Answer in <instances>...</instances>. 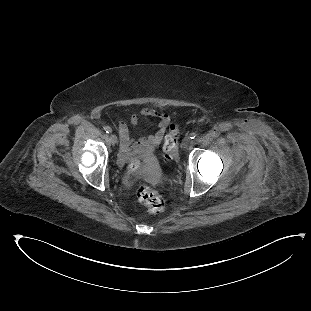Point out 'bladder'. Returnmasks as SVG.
<instances>
[{"mask_svg": "<svg viewBox=\"0 0 311 311\" xmlns=\"http://www.w3.org/2000/svg\"><path fill=\"white\" fill-rule=\"evenodd\" d=\"M158 159V154H154L143 160L140 168H143V174L145 177H150L153 175L154 166L157 164Z\"/></svg>", "mask_w": 311, "mask_h": 311, "instance_id": "31cf9c89", "label": "bladder"}]
</instances>
